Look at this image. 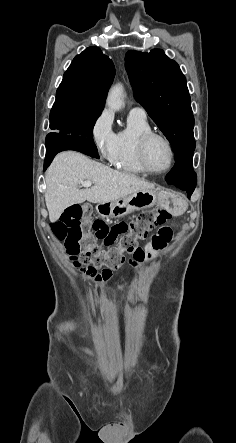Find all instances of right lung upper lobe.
<instances>
[{
    "instance_id": "obj_1",
    "label": "right lung upper lobe",
    "mask_w": 236,
    "mask_h": 443,
    "mask_svg": "<svg viewBox=\"0 0 236 443\" xmlns=\"http://www.w3.org/2000/svg\"><path fill=\"white\" fill-rule=\"evenodd\" d=\"M114 76L112 60L100 48L89 47L73 59L64 73L53 106L102 111Z\"/></svg>"
}]
</instances>
